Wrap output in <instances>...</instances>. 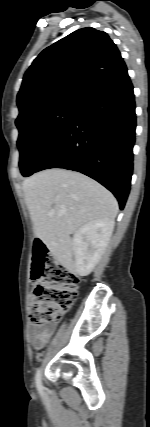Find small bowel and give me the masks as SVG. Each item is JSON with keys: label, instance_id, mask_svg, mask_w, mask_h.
<instances>
[{"label": "small bowel", "instance_id": "obj_1", "mask_svg": "<svg viewBox=\"0 0 150 427\" xmlns=\"http://www.w3.org/2000/svg\"><path fill=\"white\" fill-rule=\"evenodd\" d=\"M53 332L52 327L39 328L31 327L29 330V340L34 348H41L44 346Z\"/></svg>", "mask_w": 150, "mask_h": 427}]
</instances>
